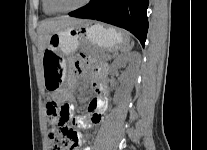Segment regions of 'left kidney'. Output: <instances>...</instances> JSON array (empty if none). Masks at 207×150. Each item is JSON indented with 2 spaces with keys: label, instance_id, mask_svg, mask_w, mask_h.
<instances>
[{
  "label": "left kidney",
  "instance_id": "1",
  "mask_svg": "<svg viewBox=\"0 0 207 150\" xmlns=\"http://www.w3.org/2000/svg\"><path fill=\"white\" fill-rule=\"evenodd\" d=\"M139 63L140 55L137 52L120 55L113 61L111 66V72L113 74H118L121 67L126 66V64L129 65L128 71L122 76L123 87L120 91L116 93L115 101L131 91L133 86V80L138 70Z\"/></svg>",
  "mask_w": 207,
  "mask_h": 150
}]
</instances>
